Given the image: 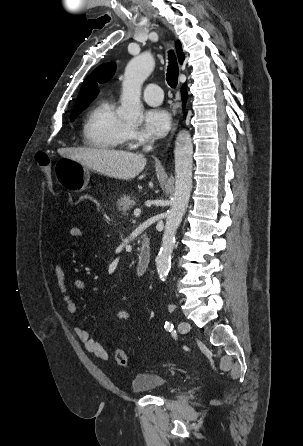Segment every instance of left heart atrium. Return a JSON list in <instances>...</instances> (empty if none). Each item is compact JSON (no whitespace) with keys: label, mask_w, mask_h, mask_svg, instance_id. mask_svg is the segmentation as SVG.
<instances>
[{"label":"left heart atrium","mask_w":303,"mask_h":446,"mask_svg":"<svg viewBox=\"0 0 303 446\" xmlns=\"http://www.w3.org/2000/svg\"><path fill=\"white\" fill-rule=\"evenodd\" d=\"M170 125V114L164 109H149L144 114V130L147 135L162 137L168 132Z\"/></svg>","instance_id":"obj_1"}]
</instances>
